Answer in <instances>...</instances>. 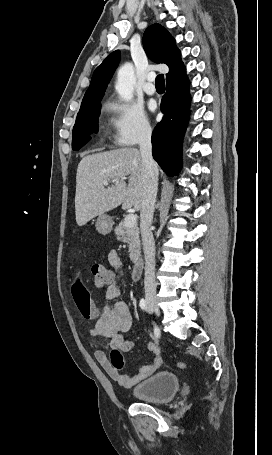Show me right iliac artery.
I'll return each instance as SVG.
<instances>
[{"label": "right iliac artery", "instance_id": "82829eb1", "mask_svg": "<svg viewBox=\"0 0 272 455\" xmlns=\"http://www.w3.org/2000/svg\"><path fill=\"white\" fill-rule=\"evenodd\" d=\"M139 305H140L142 310H146L147 309V304H146L145 299H141ZM154 332H155L156 337H159L160 331H159V329L156 326L154 328Z\"/></svg>", "mask_w": 272, "mask_h": 455}]
</instances>
